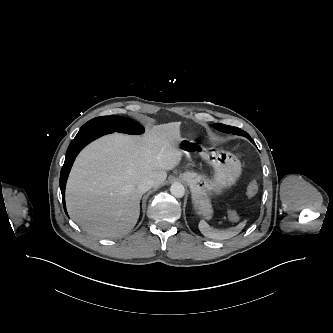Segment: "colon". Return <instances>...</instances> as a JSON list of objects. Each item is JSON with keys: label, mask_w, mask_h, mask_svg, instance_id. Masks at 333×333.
Returning <instances> with one entry per match:
<instances>
[{"label": "colon", "mask_w": 333, "mask_h": 333, "mask_svg": "<svg viewBox=\"0 0 333 333\" xmlns=\"http://www.w3.org/2000/svg\"><path fill=\"white\" fill-rule=\"evenodd\" d=\"M258 192V184L256 181H251L246 188V196L253 197ZM228 219L231 222H236L239 220V215L236 211L231 210L228 212Z\"/></svg>", "instance_id": "colon-1"}]
</instances>
